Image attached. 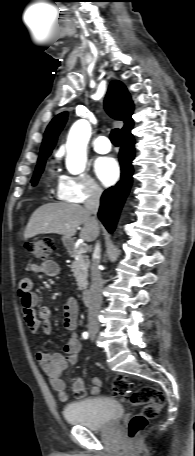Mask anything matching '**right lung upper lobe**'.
<instances>
[{
	"mask_svg": "<svg viewBox=\"0 0 195 456\" xmlns=\"http://www.w3.org/2000/svg\"><path fill=\"white\" fill-rule=\"evenodd\" d=\"M105 109L112 118L124 121L125 125L122 128V135L130 133L133 128V120L131 118L133 103L126 87L118 80L112 81L109 86L105 98ZM66 120L67 112H63L50 122L44 134L39 159L48 157L51 154L56 144L57 136Z\"/></svg>",
	"mask_w": 195,
	"mask_h": 456,
	"instance_id": "obj_1",
	"label": "right lung upper lobe"
}]
</instances>
